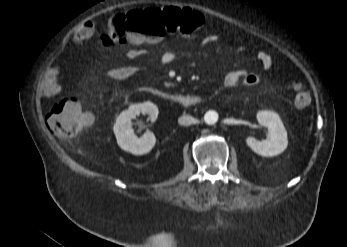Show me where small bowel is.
<instances>
[{"mask_svg":"<svg viewBox=\"0 0 347 247\" xmlns=\"http://www.w3.org/2000/svg\"><path fill=\"white\" fill-rule=\"evenodd\" d=\"M95 25L92 21H86L80 25L72 35V41L81 43L89 39L94 33ZM219 35L210 34L203 39L204 45L215 44L219 40ZM136 46H139V42H135ZM125 56L128 59L136 60L149 56V52L139 47L129 48L125 51ZM175 59V54L171 51H165L160 55V61L163 64H169ZM257 59L263 69H269L272 66L273 59L271 55L265 51H260L257 54ZM144 67L142 65L130 64L109 67L105 71V77L110 80L122 81L134 78L137 76ZM59 68L56 65L48 66L42 77V89L45 95L53 96L60 90L58 83ZM260 76L248 70L232 71L224 77V84L228 88H235L240 85L255 86L260 83Z\"/></svg>","mask_w":347,"mask_h":247,"instance_id":"1","label":"small bowel"}]
</instances>
